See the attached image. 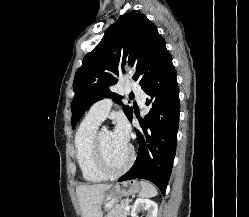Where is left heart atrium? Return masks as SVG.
I'll return each instance as SVG.
<instances>
[{"mask_svg":"<svg viewBox=\"0 0 249 217\" xmlns=\"http://www.w3.org/2000/svg\"><path fill=\"white\" fill-rule=\"evenodd\" d=\"M113 134L121 144L123 145L128 144L129 127L124 119L118 120L115 130L113 131Z\"/></svg>","mask_w":249,"mask_h":217,"instance_id":"1","label":"left heart atrium"}]
</instances>
